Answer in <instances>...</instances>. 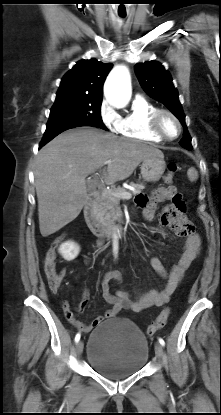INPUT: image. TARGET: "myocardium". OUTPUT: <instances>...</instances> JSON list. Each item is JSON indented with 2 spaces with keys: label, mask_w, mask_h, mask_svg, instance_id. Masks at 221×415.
<instances>
[{
  "label": "myocardium",
  "mask_w": 221,
  "mask_h": 415,
  "mask_svg": "<svg viewBox=\"0 0 221 415\" xmlns=\"http://www.w3.org/2000/svg\"><path fill=\"white\" fill-rule=\"evenodd\" d=\"M163 116H169L171 117L175 123L177 124V134L175 136H169L167 135L163 128H162V118ZM149 126H150V130L158 137H160L162 140H166V141H172L177 139L181 132H182V124L179 120V118L177 117V115L175 113H173L171 110L169 109H163V108H157L151 115L150 120H149Z\"/></svg>",
  "instance_id": "f54148a6"
}]
</instances>
